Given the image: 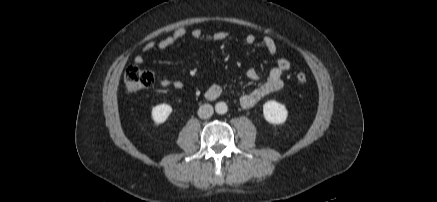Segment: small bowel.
<instances>
[{"label":"small bowel","mask_w":437,"mask_h":202,"mask_svg":"<svg viewBox=\"0 0 437 202\" xmlns=\"http://www.w3.org/2000/svg\"><path fill=\"white\" fill-rule=\"evenodd\" d=\"M186 35V30L183 27L175 28L168 36L159 40H152L147 42L141 50V53L137 55L134 59L136 64H142L145 60L144 54L157 49L165 50L170 46L174 45L177 41L182 39ZM191 36L196 41H221L227 39L230 36L229 32L219 31L214 33H205L201 29H194L191 32ZM245 43L248 45L254 44L256 37L253 34H248L245 36ZM262 45L269 55L274 56L277 53V45L274 39L270 36H264L262 38ZM291 67L289 60L285 58H280L277 60L276 64L270 70L266 80L262 82L258 87L250 92L243 94L240 98V104L244 108L253 107L265 96L280 90L283 85V73L288 71ZM250 80L258 81L259 73L255 69H250L246 73ZM161 86L165 88L182 89L183 84L177 80L162 79L160 81ZM221 94V87L217 84L212 85L207 90V97L210 99H215Z\"/></svg>","instance_id":"c3829d8e"}]
</instances>
